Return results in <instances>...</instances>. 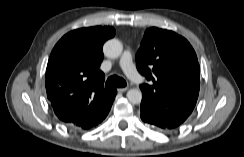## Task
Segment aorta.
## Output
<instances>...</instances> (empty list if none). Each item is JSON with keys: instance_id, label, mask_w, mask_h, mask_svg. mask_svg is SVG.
Listing matches in <instances>:
<instances>
[{"instance_id": "aorta-1", "label": "aorta", "mask_w": 244, "mask_h": 157, "mask_svg": "<svg viewBox=\"0 0 244 157\" xmlns=\"http://www.w3.org/2000/svg\"><path fill=\"white\" fill-rule=\"evenodd\" d=\"M122 51V43L117 39L108 40L103 46L104 55L108 58H117L121 55ZM126 96L132 104H139L142 100V93L138 89H130Z\"/></svg>"}]
</instances>
